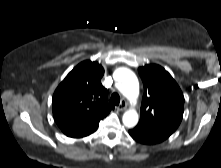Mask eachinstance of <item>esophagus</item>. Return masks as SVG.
Here are the masks:
<instances>
[{
  "mask_svg": "<svg viewBox=\"0 0 221 168\" xmlns=\"http://www.w3.org/2000/svg\"><path fill=\"white\" fill-rule=\"evenodd\" d=\"M127 108V102L125 100H122L120 105L118 106L119 111H124Z\"/></svg>",
  "mask_w": 221,
  "mask_h": 168,
  "instance_id": "1",
  "label": "esophagus"
}]
</instances>
